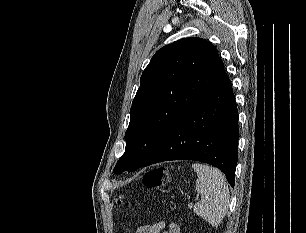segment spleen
Returning a JSON list of instances; mask_svg holds the SVG:
<instances>
[{
	"instance_id": "3e777b00",
	"label": "spleen",
	"mask_w": 306,
	"mask_h": 233,
	"mask_svg": "<svg viewBox=\"0 0 306 233\" xmlns=\"http://www.w3.org/2000/svg\"><path fill=\"white\" fill-rule=\"evenodd\" d=\"M197 173L196 191L201 200L194 206V212L213 227L223 220L229 205V189L224 174L217 168L194 163Z\"/></svg>"
}]
</instances>
